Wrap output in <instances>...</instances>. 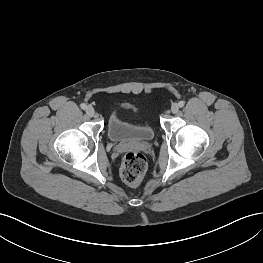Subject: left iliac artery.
Instances as JSON below:
<instances>
[{"mask_svg":"<svg viewBox=\"0 0 263 263\" xmlns=\"http://www.w3.org/2000/svg\"><path fill=\"white\" fill-rule=\"evenodd\" d=\"M178 105H179V107H183V106L185 105V102H184V101H180V102L178 103Z\"/></svg>","mask_w":263,"mask_h":263,"instance_id":"obj_1","label":"left iliac artery"}]
</instances>
